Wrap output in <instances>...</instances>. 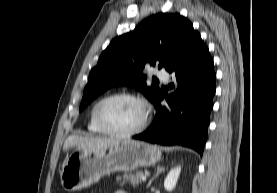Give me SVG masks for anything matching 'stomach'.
I'll list each match as a JSON object with an SVG mask.
<instances>
[{
	"label": "stomach",
	"instance_id": "1",
	"mask_svg": "<svg viewBox=\"0 0 277 193\" xmlns=\"http://www.w3.org/2000/svg\"><path fill=\"white\" fill-rule=\"evenodd\" d=\"M160 158L157 146L134 140H121L104 149L76 148L63 163L61 184L66 191H78L111 172H130L154 165Z\"/></svg>",
	"mask_w": 277,
	"mask_h": 193
}]
</instances>
